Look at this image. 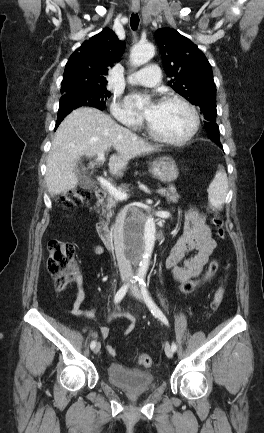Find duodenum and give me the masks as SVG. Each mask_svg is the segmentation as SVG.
<instances>
[{"label": "duodenum", "mask_w": 264, "mask_h": 433, "mask_svg": "<svg viewBox=\"0 0 264 433\" xmlns=\"http://www.w3.org/2000/svg\"><path fill=\"white\" fill-rule=\"evenodd\" d=\"M94 197L96 201L100 202L105 198V192L101 189H98L94 193ZM97 232L101 240L109 247L113 244V231L109 227V225L104 221H99L97 223ZM158 238H160V234H158Z\"/></svg>", "instance_id": "410a0bca"}]
</instances>
